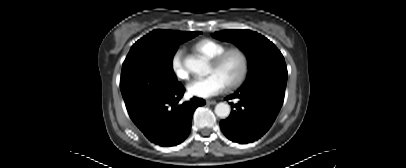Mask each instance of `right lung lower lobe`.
<instances>
[{"label":"right lung lower lobe","instance_id":"1","mask_svg":"<svg viewBox=\"0 0 406 168\" xmlns=\"http://www.w3.org/2000/svg\"><path fill=\"white\" fill-rule=\"evenodd\" d=\"M184 92V87L179 84L171 92L130 114L132 121L151 142L160 146H175L189 135L193 112L205 101L194 97L177 105Z\"/></svg>","mask_w":406,"mask_h":168}]
</instances>
